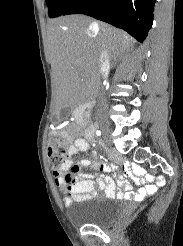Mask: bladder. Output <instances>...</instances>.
Masks as SVG:
<instances>
[{
  "label": "bladder",
  "mask_w": 183,
  "mask_h": 246,
  "mask_svg": "<svg viewBox=\"0 0 183 246\" xmlns=\"http://www.w3.org/2000/svg\"><path fill=\"white\" fill-rule=\"evenodd\" d=\"M121 212L119 201L110 198L96 197L81 213L73 215L76 225L105 226L114 221Z\"/></svg>",
  "instance_id": "bladder-1"
}]
</instances>
